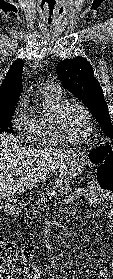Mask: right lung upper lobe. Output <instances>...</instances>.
Wrapping results in <instances>:
<instances>
[{"mask_svg":"<svg viewBox=\"0 0 113 279\" xmlns=\"http://www.w3.org/2000/svg\"><path fill=\"white\" fill-rule=\"evenodd\" d=\"M22 64V60L14 61L0 86V110L15 107L19 100L22 85Z\"/></svg>","mask_w":113,"mask_h":279,"instance_id":"cb5924a9","label":"right lung upper lobe"}]
</instances>
